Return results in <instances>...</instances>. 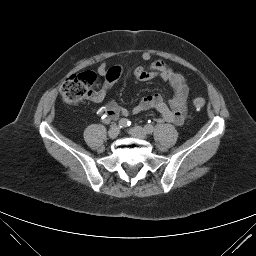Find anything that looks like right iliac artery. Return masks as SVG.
<instances>
[{
    "label": "right iliac artery",
    "mask_w": 256,
    "mask_h": 256,
    "mask_svg": "<svg viewBox=\"0 0 256 256\" xmlns=\"http://www.w3.org/2000/svg\"><path fill=\"white\" fill-rule=\"evenodd\" d=\"M130 124H131V122L126 118H122L118 122V125L120 128H126V127L130 126Z\"/></svg>",
    "instance_id": "right-iliac-artery-1"
}]
</instances>
